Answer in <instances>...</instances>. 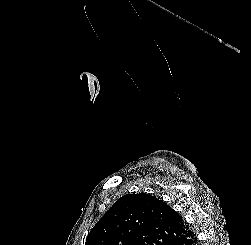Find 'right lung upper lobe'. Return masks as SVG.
Masks as SVG:
<instances>
[{"label": "right lung upper lobe", "instance_id": "cb5924a9", "mask_svg": "<svg viewBox=\"0 0 251 245\" xmlns=\"http://www.w3.org/2000/svg\"><path fill=\"white\" fill-rule=\"evenodd\" d=\"M188 229L183 218L160 199L126 194L96 223L85 245H168Z\"/></svg>", "mask_w": 251, "mask_h": 245}]
</instances>
